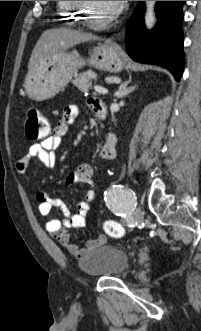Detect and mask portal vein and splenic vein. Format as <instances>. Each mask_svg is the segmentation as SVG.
Segmentation results:
<instances>
[{
  "label": "portal vein and splenic vein",
  "mask_w": 201,
  "mask_h": 331,
  "mask_svg": "<svg viewBox=\"0 0 201 331\" xmlns=\"http://www.w3.org/2000/svg\"><path fill=\"white\" fill-rule=\"evenodd\" d=\"M94 90L100 94H107L108 93V90L104 87H101V86H94Z\"/></svg>",
  "instance_id": "1"
}]
</instances>
